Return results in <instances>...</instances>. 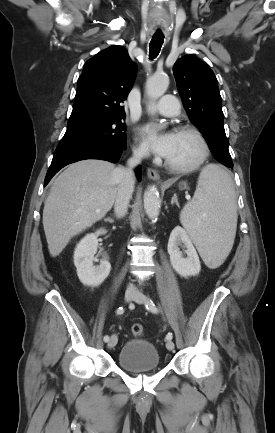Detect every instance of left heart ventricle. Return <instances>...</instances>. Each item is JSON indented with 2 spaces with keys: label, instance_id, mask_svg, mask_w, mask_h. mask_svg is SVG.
I'll return each instance as SVG.
<instances>
[{
  "label": "left heart ventricle",
  "instance_id": "b2bd125f",
  "mask_svg": "<svg viewBox=\"0 0 275 433\" xmlns=\"http://www.w3.org/2000/svg\"><path fill=\"white\" fill-rule=\"evenodd\" d=\"M201 155L199 141L190 134L175 133L173 145L166 159L177 166H189Z\"/></svg>",
  "mask_w": 275,
  "mask_h": 433
}]
</instances>
